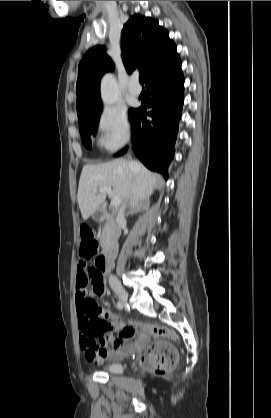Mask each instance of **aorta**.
Masks as SVG:
<instances>
[{"label":"aorta","instance_id":"1","mask_svg":"<svg viewBox=\"0 0 271 418\" xmlns=\"http://www.w3.org/2000/svg\"><path fill=\"white\" fill-rule=\"evenodd\" d=\"M101 96L103 102L108 106H113L117 100V92L114 78L111 75L103 77L101 82Z\"/></svg>","mask_w":271,"mask_h":418}]
</instances>
